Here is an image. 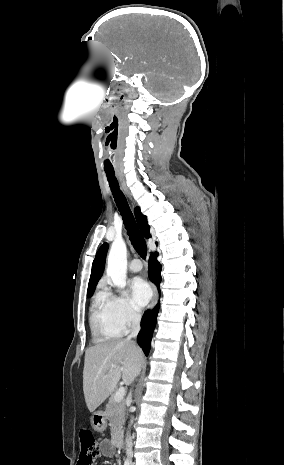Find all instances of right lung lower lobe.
Listing matches in <instances>:
<instances>
[{
  "label": "right lung lower lobe",
  "mask_w": 284,
  "mask_h": 465,
  "mask_svg": "<svg viewBox=\"0 0 284 465\" xmlns=\"http://www.w3.org/2000/svg\"><path fill=\"white\" fill-rule=\"evenodd\" d=\"M157 253L155 255H151L149 259V279L155 283L158 287V291L160 293L159 284L161 282V265L157 261ZM160 303H158L153 310H148L144 313L141 322V330L137 337V342L139 346L143 349L144 353L148 355L151 345V339L153 335V331L156 325V318L159 311Z\"/></svg>",
  "instance_id": "1"
}]
</instances>
